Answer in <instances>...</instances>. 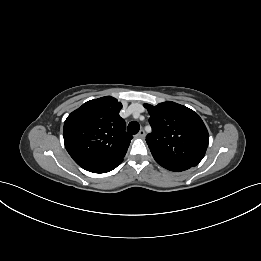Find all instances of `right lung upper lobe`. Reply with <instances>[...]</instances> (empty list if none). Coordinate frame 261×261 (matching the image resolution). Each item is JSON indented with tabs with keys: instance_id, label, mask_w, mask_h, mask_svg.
Wrapping results in <instances>:
<instances>
[{
	"instance_id": "obj_1",
	"label": "right lung upper lobe",
	"mask_w": 261,
	"mask_h": 261,
	"mask_svg": "<svg viewBox=\"0 0 261 261\" xmlns=\"http://www.w3.org/2000/svg\"><path fill=\"white\" fill-rule=\"evenodd\" d=\"M122 104L111 96L90 100L65 120L63 137L72 159L83 165L122 159L133 138L119 116Z\"/></svg>"
}]
</instances>
